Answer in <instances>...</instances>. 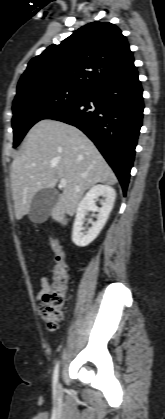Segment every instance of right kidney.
<instances>
[{"label": "right kidney", "mask_w": 165, "mask_h": 419, "mask_svg": "<svg viewBox=\"0 0 165 419\" xmlns=\"http://www.w3.org/2000/svg\"><path fill=\"white\" fill-rule=\"evenodd\" d=\"M103 197L100 201L102 207L96 206L95 202L99 197ZM116 198L115 190L109 185L98 184L93 186L78 204L76 218L73 225L72 241L79 247L89 245L99 235L107 222L109 214L113 209ZM98 212L97 221L89 220L92 227L86 233L82 232V226L86 214L89 212Z\"/></svg>", "instance_id": "obj_1"}]
</instances>
